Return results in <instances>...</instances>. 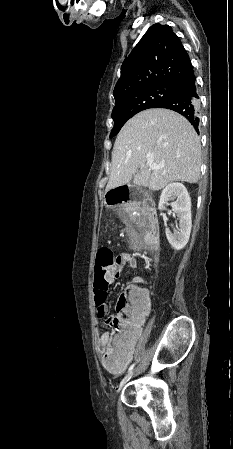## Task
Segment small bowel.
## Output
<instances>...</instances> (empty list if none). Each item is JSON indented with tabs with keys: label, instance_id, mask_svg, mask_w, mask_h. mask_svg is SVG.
Listing matches in <instances>:
<instances>
[{
	"label": "small bowel",
	"instance_id": "obj_1",
	"mask_svg": "<svg viewBox=\"0 0 233 449\" xmlns=\"http://www.w3.org/2000/svg\"><path fill=\"white\" fill-rule=\"evenodd\" d=\"M125 267L129 269H135L137 267V260L131 254L121 253L118 255L116 259V265L110 269L109 280L114 281L115 279H117L120 275L121 270ZM127 284L131 285L132 281L131 280L128 281ZM146 310L147 308L145 309V311ZM108 314H109V307L105 303L102 307L97 308V316H98L97 322H99V320H101L102 318L107 317ZM140 335H141V328L139 327L137 333L126 343L124 348H121L120 352H116L113 346L111 345L112 338L110 334L105 332L101 334L97 339L96 344L97 352L99 355L103 357L106 353L111 352L117 358H122L123 365L117 369L118 372H122L133 358L136 342L140 337Z\"/></svg>",
	"mask_w": 233,
	"mask_h": 449
}]
</instances>
